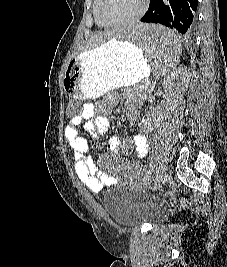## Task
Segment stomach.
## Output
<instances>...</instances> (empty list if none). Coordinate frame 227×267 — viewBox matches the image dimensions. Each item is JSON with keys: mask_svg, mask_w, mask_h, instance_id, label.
I'll return each mask as SVG.
<instances>
[{"mask_svg": "<svg viewBox=\"0 0 227 267\" xmlns=\"http://www.w3.org/2000/svg\"><path fill=\"white\" fill-rule=\"evenodd\" d=\"M150 72L151 63L144 59L141 47L116 37L74 56L67 64L65 82L60 83L66 87V96L85 101L114 88L136 85Z\"/></svg>", "mask_w": 227, "mask_h": 267, "instance_id": "1", "label": "stomach"}]
</instances>
